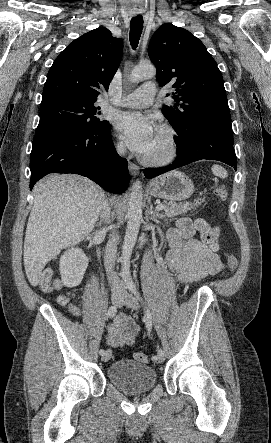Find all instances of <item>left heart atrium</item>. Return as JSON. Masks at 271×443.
Segmentation results:
<instances>
[{
    "label": "left heart atrium",
    "instance_id": "left-heart-atrium-1",
    "mask_svg": "<svg viewBox=\"0 0 271 443\" xmlns=\"http://www.w3.org/2000/svg\"><path fill=\"white\" fill-rule=\"evenodd\" d=\"M116 127L132 151L148 153L155 133V125L149 115L140 111L122 112L117 116Z\"/></svg>",
    "mask_w": 271,
    "mask_h": 443
}]
</instances>
